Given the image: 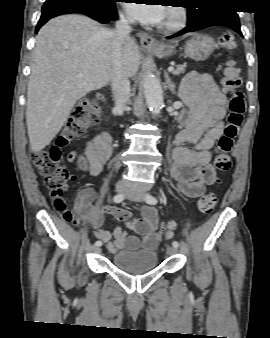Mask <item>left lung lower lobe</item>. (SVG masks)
I'll list each match as a JSON object with an SVG mask.
<instances>
[{
    "label": "left lung lower lobe",
    "mask_w": 270,
    "mask_h": 338,
    "mask_svg": "<svg viewBox=\"0 0 270 338\" xmlns=\"http://www.w3.org/2000/svg\"><path fill=\"white\" fill-rule=\"evenodd\" d=\"M237 11L223 8L219 11L210 13L193 24H188L182 31L168 36L167 38L177 37L187 32H194L212 26H227L242 35L240 30L239 17Z\"/></svg>",
    "instance_id": "left-lung-lower-lobe-1"
}]
</instances>
